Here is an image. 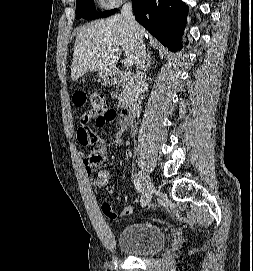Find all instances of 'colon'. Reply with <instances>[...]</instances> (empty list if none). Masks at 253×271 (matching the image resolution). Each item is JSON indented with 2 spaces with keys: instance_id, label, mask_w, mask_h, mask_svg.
Here are the masks:
<instances>
[{
  "instance_id": "obj_1",
  "label": "colon",
  "mask_w": 253,
  "mask_h": 271,
  "mask_svg": "<svg viewBox=\"0 0 253 271\" xmlns=\"http://www.w3.org/2000/svg\"><path fill=\"white\" fill-rule=\"evenodd\" d=\"M73 102L77 106H82L85 103L89 102L91 105V113L93 115H101L108 121H114L116 118V113L113 110H105V97L103 94L98 92L85 93L78 92L73 96Z\"/></svg>"
}]
</instances>
